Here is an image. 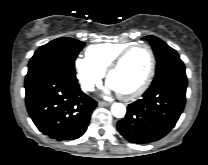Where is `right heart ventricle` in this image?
<instances>
[{"instance_id":"right-heart-ventricle-1","label":"right heart ventricle","mask_w":208,"mask_h":165,"mask_svg":"<svg viewBox=\"0 0 208 165\" xmlns=\"http://www.w3.org/2000/svg\"><path fill=\"white\" fill-rule=\"evenodd\" d=\"M131 44H133V42L97 43L88 46L85 55L96 68L104 73L116 55Z\"/></svg>"}]
</instances>
